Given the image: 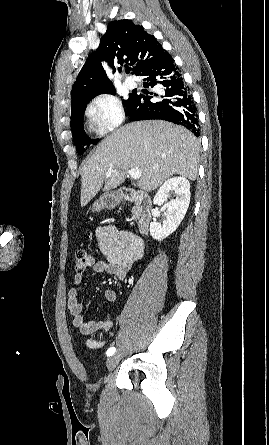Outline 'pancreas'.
Returning a JSON list of instances; mask_svg holds the SVG:
<instances>
[{
    "label": "pancreas",
    "instance_id": "pancreas-1",
    "mask_svg": "<svg viewBox=\"0 0 269 445\" xmlns=\"http://www.w3.org/2000/svg\"><path fill=\"white\" fill-rule=\"evenodd\" d=\"M132 212H133V214H137V209L134 208Z\"/></svg>",
    "mask_w": 269,
    "mask_h": 445
}]
</instances>
